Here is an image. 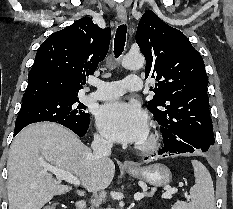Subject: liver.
Returning a JSON list of instances; mask_svg holds the SVG:
<instances>
[{
    "label": "liver",
    "mask_w": 233,
    "mask_h": 209,
    "mask_svg": "<svg viewBox=\"0 0 233 209\" xmlns=\"http://www.w3.org/2000/svg\"><path fill=\"white\" fill-rule=\"evenodd\" d=\"M44 164L75 175L89 192L106 189L115 174L113 161L97 157L72 131L55 123L33 124L10 146L9 209H41L54 196L72 190L58 184Z\"/></svg>",
    "instance_id": "1"
}]
</instances>
